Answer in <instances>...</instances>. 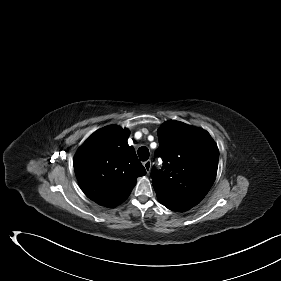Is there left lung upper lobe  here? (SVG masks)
<instances>
[{
	"label": "left lung upper lobe",
	"instance_id": "5c2ea615",
	"mask_svg": "<svg viewBox=\"0 0 281 281\" xmlns=\"http://www.w3.org/2000/svg\"><path fill=\"white\" fill-rule=\"evenodd\" d=\"M163 169L152 171L153 187L161 204L193 207L208 193L218 168L219 150L203 130L169 120L158 129Z\"/></svg>",
	"mask_w": 281,
	"mask_h": 281
}]
</instances>
